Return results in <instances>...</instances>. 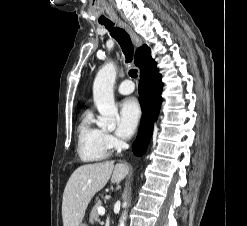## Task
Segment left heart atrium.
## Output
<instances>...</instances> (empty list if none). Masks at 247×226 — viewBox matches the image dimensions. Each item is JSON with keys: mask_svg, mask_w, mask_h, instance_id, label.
I'll use <instances>...</instances> for the list:
<instances>
[{"mask_svg": "<svg viewBox=\"0 0 247 226\" xmlns=\"http://www.w3.org/2000/svg\"><path fill=\"white\" fill-rule=\"evenodd\" d=\"M140 115L139 102L133 97L125 99L120 105L119 134L123 137L131 135L138 125Z\"/></svg>", "mask_w": 247, "mask_h": 226, "instance_id": "1", "label": "left heart atrium"}]
</instances>
